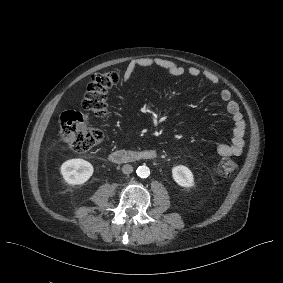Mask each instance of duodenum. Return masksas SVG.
Wrapping results in <instances>:
<instances>
[{"label":"duodenum","mask_w":283,"mask_h":283,"mask_svg":"<svg viewBox=\"0 0 283 283\" xmlns=\"http://www.w3.org/2000/svg\"><path fill=\"white\" fill-rule=\"evenodd\" d=\"M157 158V152L152 149L145 150H117L109 154L108 159L115 164H125L139 161H150Z\"/></svg>","instance_id":"duodenum-1"}]
</instances>
